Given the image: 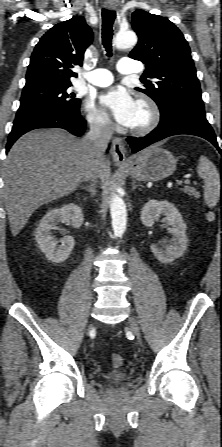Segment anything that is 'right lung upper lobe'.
Masks as SVG:
<instances>
[{
  "mask_svg": "<svg viewBox=\"0 0 222 447\" xmlns=\"http://www.w3.org/2000/svg\"><path fill=\"white\" fill-rule=\"evenodd\" d=\"M92 30L82 16L56 24L36 45L23 90L71 84L76 77L71 68L82 65L84 52L92 43Z\"/></svg>",
  "mask_w": 222,
  "mask_h": 447,
  "instance_id": "right-lung-upper-lobe-1",
  "label": "right lung upper lobe"
}]
</instances>
